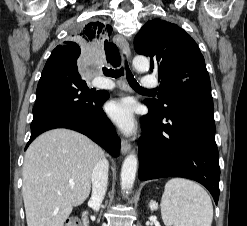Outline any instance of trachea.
Segmentation results:
<instances>
[{
    "label": "trachea",
    "instance_id": "obj_1",
    "mask_svg": "<svg viewBox=\"0 0 247 226\" xmlns=\"http://www.w3.org/2000/svg\"><path fill=\"white\" fill-rule=\"evenodd\" d=\"M125 70H126V77H127V81L129 83V85L136 91H140V92H152L153 90H148L145 89L143 87H141L139 85V83L136 81V79L134 78L132 72L130 71L127 62H125ZM103 73L106 76H110L113 78H118L121 75L124 74V68L122 67L119 70H113V69H107V68H103Z\"/></svg>",
    "mask_w": 247,
    "mask_h": 226
}]
</instances>
